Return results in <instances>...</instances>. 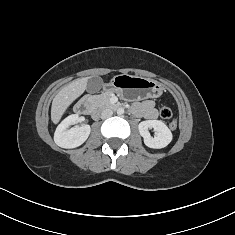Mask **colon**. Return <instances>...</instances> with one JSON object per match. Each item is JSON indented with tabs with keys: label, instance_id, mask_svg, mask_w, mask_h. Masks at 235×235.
Wrapping results in <instances>:
<instances>
[{
	"label": "colon",
	"instance_id": "1",
	"mask_svg": "<svg viewBox=\"0 0 235 235\" xmlns=\"http://www.w3.org/2000/svg\"><path fill=\"white\" fill-rule=\"evenodd\" d=\"M160 116L164 119H169L172 116V111L169 107L163 106L160 108ZM170 129L175 130L177 127L176 121H172L169 124Z\"/></svg>",
	"mask_w": 235,
	"mask_h": 235
}]
</instances>
